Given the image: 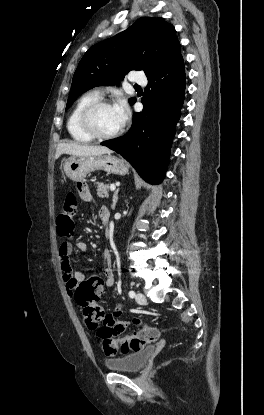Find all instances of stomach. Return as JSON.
I'll use <instances>...</instances> for the list:
<instances>
[{"label":"stomach","instance_id":"obj_1","mask_svg":"<svg viewBox=\"0 0 264 415\" xmlns=\"http://www.w3.org/2000/svg\"><path fill=\"white\" fill-rule=\"evenodd\" d=\"M63 170L69 179L79 182L96 170H103L116 175H126L128 165L124 160L111 154L71 156L64 161Z\"/></svg>","mask_w":264,"mask_h":415}]
</instances>
